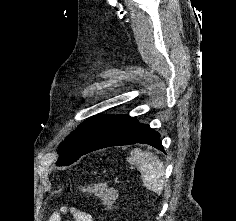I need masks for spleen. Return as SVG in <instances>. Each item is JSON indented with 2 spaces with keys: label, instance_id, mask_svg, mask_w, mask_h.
Instances as JSON below:
<instances>
[{
  "label": "spleen",
  "instance_id": "obj_1",
  "mask_svg": "<svg viewBox=\"0 0 236 221\" xmlns=\"http://www.w3.org/2000/svg\"><path fill=\"white\" fill-rule=\"evenodd\" d=\"M141 172L144 186L155 193H160L165 183V167L163 162L152 152L135 148L127 158Z\"/></svg>",
  "mask_w": 236,
  "mask_h": 221
}]
</instances>
